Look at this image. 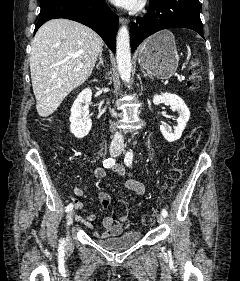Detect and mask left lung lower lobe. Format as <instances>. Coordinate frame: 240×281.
<instances>
[{"instance_id":"left-lung-lower-lobe-1","label":"left lung lower lobe","mask_w":240,"mask_h":281,"mask_svg":"<svg viewBox=\"0 0 240 281\" xmlns=\"http://www.w3.org/2000/svg\"><path fill=\"white\" fill-rule=\"evenodd\" d=\"M167 28H188L203 38L199 0H150L148 13L131 25V51L151 34Z\"/></svg>"}]
</instances>
